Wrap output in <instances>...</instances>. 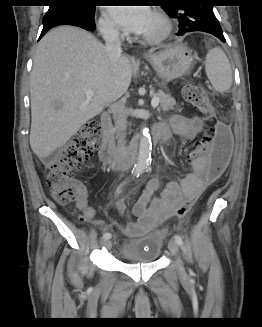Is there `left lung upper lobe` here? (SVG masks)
Here are the masks:
<instances>
[{"label":"left lung upper lobe","mask_w":262,"mask_h":327,"mask_svg":"<svg viewBox=\"0 0 262 327\" xmlns=\"http://www.w3.org/2000/svg\"><path fill=\"white\" fill-rule=\"evenodd\" d=\"M187 0L168 1L163 6L164 11L179 22V34L186 32L201 31L214 36L223 35L222 28L213 13V6L205 4L202 6L187 4Z\"/></svg>","instance_id":"5c2ea615"}]
</instances>
